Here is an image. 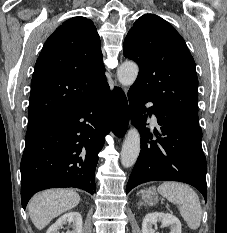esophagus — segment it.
Instances as JSON below:
<instances>
[{
    "label": "esophagus",
    "mask_w": 227,
    "mask_h": 233,
    "mask_svg": "<svg viewBox=\"0 0 227 233\" xmlns=\"http://www.w3.org/2000/svg\"><path fill=\"white\" fill-rule=\"evenodd\" d=\"M123 90H124V93L127 95V89H126V88H123Z\"/></svg>",
    "instance_id": "1"
}]
</instances>
